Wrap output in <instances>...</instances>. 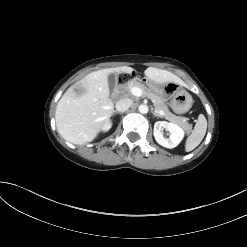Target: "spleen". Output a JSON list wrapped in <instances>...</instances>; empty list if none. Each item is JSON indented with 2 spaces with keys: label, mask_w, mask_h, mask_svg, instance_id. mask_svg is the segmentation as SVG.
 Wrapping results in <instances>:
<instances>
[{
  "label": "spleen",
  "mask_w": 247,
  "mask_h": 247,
  "mask_svg": "<svg viewBox=\"0 0 247 247\" xmlns=\"http://www.w3.org/2000/svg\"><path fill=\"white\" fill-rule=\"evenodd\" d=\"M207 130V120L203 114L198 116L193 132L189 135L185 143V151L190 152L195 149L203 140Z\"/></svg>",
  "instance_id": "obj_1"
}]
</instances>
